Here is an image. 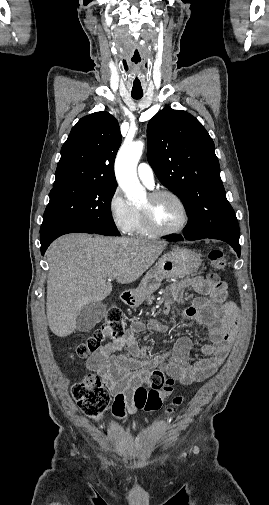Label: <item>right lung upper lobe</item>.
<instances>
[{
	"mask_svg": "<svg viewBox=\"0 0 269 505\" xmlns=\"http://www.w3.org/2000/svg\"><path fill=\"white\" fill-rule=\"evenodd\" d=\"M120 144L114 116L104 111L81 118L61 148L53 187L73 183L116 185L114 160Z\"/></svg>",
	"mask_w": 269,
	"mask_h": 505,
	"instance_id": "obj_1",
	"label": "right lung upper lobe"
}]
</instances>
